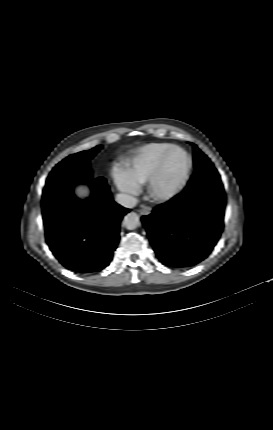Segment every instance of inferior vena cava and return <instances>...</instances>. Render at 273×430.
Returning a JSON list of instances; mask_svg holds the SVG:
<instances>
[{"label": "inferior vena cava", "mask_w": 273, "mask_h": 430, "mask_svg": "<svg viewBox=\"0 0 273 430\" xmlns=\"http://www.w3.org/2000/svg\"><path fill=\"white\" fill-rule=\"evenodd\" d=\"M115 200L126 208H133L137 204V199L129 194H117Z\"/></svg>", "instance_id": "inferior-vena-cava-1"}]
</instances>
